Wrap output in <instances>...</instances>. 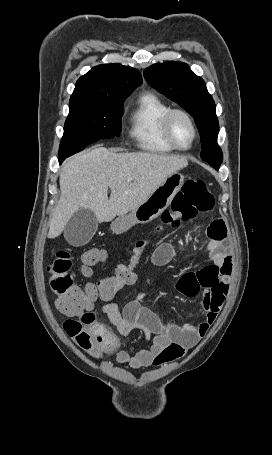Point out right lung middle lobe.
I'll return each mask as SVG.
<instances>
[{
	"instance_id": "dd1d6c3e",
	"label": "right lung middle lobe",
	"mask_w": 272,
	"mask_h": 455,
	"mask_svg": "<svg viewBox=\"0 0 272 455\" xmlns=\"http://www.w3.org/2000/svg\"><path fill=\"white\" fill-rule=\"evenodd\" d=\"M123 104L113 106H69V115L59 149V159L83 150L99 139L119 136Z\"/></svg>"
}]
</instances>
